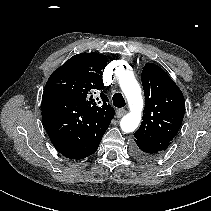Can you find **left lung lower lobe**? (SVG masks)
Here are the masks:
<instances>
[{
	"instance_id": "left-lung-lower-lobe-1",
	"label": "left lung lower lobe",
	"mask_w": 211,
	"mask_h": 211,
	"mask_svg": "<svg viewBox=\"0 0 211 211\" xmlns=\"http://www.w3.org/2000/svg\"><path fill=\"white\" fill-rule=\"evenodd\" d=\"M132 154L138 160L150 161L154 159L159 154V152L143 144L136 143L133 145Z\"/></svg>"
}]
</instances>
